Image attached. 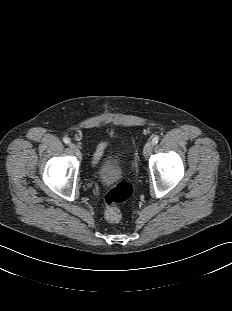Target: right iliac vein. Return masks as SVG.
Masks as SVG:
<instances>
[{
	"label": "right iliac vein",
	"instance_id": "right-iliac-vein-1",
	"mask_svg": "<svg viewBox=\"0 0 232 311\" xmlns=\"http://www.w3.org/2000/svg\"><path fill=\"white\" fill-rule=\"evenodd\" d=\"M70 148L72 149V151H73L75 154H77V155L80 154L79 148L77 147L76 144L70 143Z\"/></svg>",
	"mask_w": 232,
	"mask_h": 311
}]
</instances>
